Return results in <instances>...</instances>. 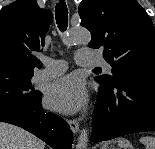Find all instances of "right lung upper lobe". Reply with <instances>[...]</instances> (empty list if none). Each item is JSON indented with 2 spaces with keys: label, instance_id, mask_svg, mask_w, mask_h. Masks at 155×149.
Segmentation results:
<instances>
[{
  "label": "right lung upper lobe",
  "instance_id": "obj_1",
  "mask_svg": "<svg viewBox=\"0 0 155 149\" xmlns=\"http://www.w3.org/2000/svg\"><path fill=\"white\" fill-rule=\"evenodd\" d=\"M52 21V13L40 9L36 0L4 6L0 10V67L22 73L41 67L32 52L40 51Z\"/></svg>",
  "mask_w": 155,
  "mask_h": 149
}]
</instances>
